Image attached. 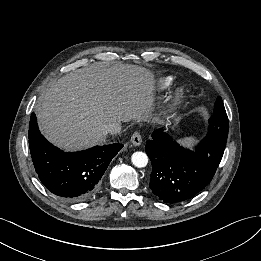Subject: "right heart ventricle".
Listing matches in <instances>:
<instances>
[{
  "mask_svg": "<svg viewBox=\"0 0 261 261\" xmlns=\"http://www.w3.org/2000/svg\"><path fill=\"white\" fill-rule=\"evenodd\" d=\"M174 82V78L173 77H165L161 80V84L164 88H169Z\"/></svg>",
  "mask_w": 261,
  "mask_h": 261,
  "instance_id": "1",
  "label": "right heart ventricle"
}]
</instances>
